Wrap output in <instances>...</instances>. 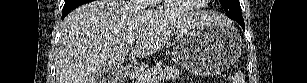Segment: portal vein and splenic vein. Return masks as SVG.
I'll return each instance as SVG.
<instances>
[{
	"mask_svg": "<svg viewBox=\"0 0 307 83\" xmlns=\"http://www.w3.org/2000/svg\"><path fill=\"white\" fill-rule=\"evenodd\" d=\"M128 44H129L130 46H132V44H133V39H129V40H128ZM155 76H156V74H152V73H150V72H146L145 77H144V81H145L146 83H153V82H155ZM160 77H162V75H161Z\"/></svg>",
	"mask_w": 307,
	"mask_h": 83,
	"instance_id": "18ae733b",
	"label": "portal vein and splenic vein"
}]
</instances>
